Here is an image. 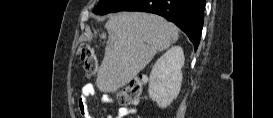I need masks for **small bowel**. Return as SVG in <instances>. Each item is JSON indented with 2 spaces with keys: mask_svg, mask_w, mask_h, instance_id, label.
Masks as SVG:
<instances>
[{
  "mask_svg": "<svg viewBox=\"0 0 273 118\" xmlns=\"http://www.w3.org/2000/svg\"><path fill=\"white\" fill-rule=\"evenodd\" d=\"M95 89L92 84L83 86L81 95L78 99V111L82 118H89L88 101L94 95ZM112 102V97L104 96V103L109 104ZM135 113V109L120 107L116 112L117 118H123ZM108 118H112V115L108 114Z\"/></svg>",
  "mask_w": 273,
  "mask_h": 118,
  "instance_id": "c3829d8e",
  "label": "small bowel"
}]
</instances>
